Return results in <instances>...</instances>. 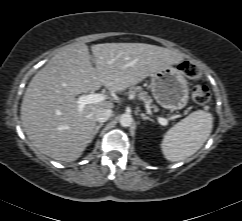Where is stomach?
<instances>
[{
  "label": "stomach",
  "instance_id": "1",
  "mask_svg": "<svg viewBox=\"0 0 242 221\" xmlns=\"http://www.w3.org/2000/svg\"><path fill=\"white\" fill-rule=\"evenodd\" d=\"M150 87L154 99L165 109L179 110L188 103V82L178 68L168 66L153 73Z\"/></svg>",
  "mask_w": 242,
  "mask_h": 221
}]
</instances>
